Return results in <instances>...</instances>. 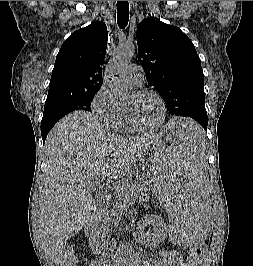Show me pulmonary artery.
I'll return each mask as SVG.
<instances>
[{"label": "pulmonary artery", "instance_id": "pulmonary-artery-1", "mask_svg": "<svg viewBox=\"0 0 253 266\" xmlns=\"http://www.w3.org/2000/svg\"><path fill=\"white\" fill-rule=\"evenodd\" d=\"M125 75L129 83L133 86L141 85L143 79V72L138 64H130L125 71Z\"/></svg>", "mask_w": 253, "mask_h": 266}]
</instances>
